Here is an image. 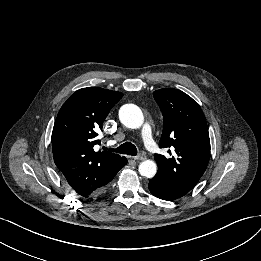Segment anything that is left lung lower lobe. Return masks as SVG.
<instances>
[{
	"label": "left lung lower lobe",
	"mask_w": 261,
	"mask_h": 261,
	"mask_svg": "<svg viewBox=\"0 0 261 261\" xmlns=\"http://www.w3.org/2000/svg\"><path fill=\"white\" fill-rule=\"evenodd\" d=\"M149 190L150 192L157 198L162 200H176L183 195L173 191L170 189L163 180H161L159 177L154 176L149 181Z\"/></svg>",
	"instance_id": "left-lung-lower-lobe-1"
}]
</instances>
